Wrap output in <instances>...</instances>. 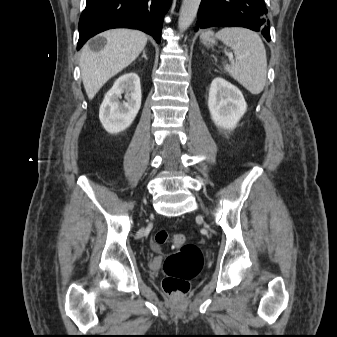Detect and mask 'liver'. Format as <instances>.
<instances>
[{"label":"liver","mask_w":337,"mask_h":337,"mask_svg":"<svg viewBox=\"0 0 337 337\" xmlns=\"http://www.w3.org/2000/svg\"><path fill=\"white\" fill-rule=\"evenodd\" d=\"M100 36L107 40L104 48L94 52L85 45L80 57L82 81L90 100L111 77L139 56L148 40L145 33L131 29H112Z\"/></svg>","instance_id":"1"}]
</instances>
